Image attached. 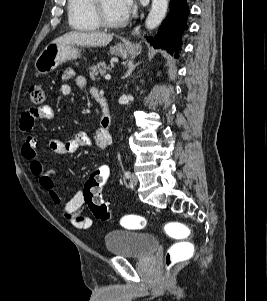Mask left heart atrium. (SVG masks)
Returning a JSON list of instances; mask_svg holds the SVG:
<instances>
[{
    "instance_id": "obj_1",
    "label": "left heart atrium",
    "mask_w": 267,
    "mask_h": 301,
    "mask_svg": "<svg viewBox=\"0 0 267 301\" xmlns=\"http://www.w3.org/2000/svg\"><path fill=\"white\" fill-rule=\"evenodd\" d=\"M117 10L123 17L128 16L133 9V0H114Z\"/></svg>"
}]
</instances>
